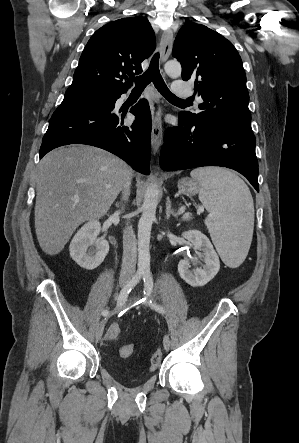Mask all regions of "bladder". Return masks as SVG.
<instances>
[{
  "instance_id": "31cf9c89",
  "label": "bladder",
  "mask_w": 299,
  "mask_h": 443,
  "mask_svg": "<svg viewBox=\"0 0 299 443\" xmlns=\"http://www.w3.org/2000/svg\"><path fill=\"white\" fill-rule=\"evenodd\" d=\"M118 376L125 384L134 386L146 381L149 377V374L138 371H127L124 373H120Z\"/></svg>"
}]
</instances>
